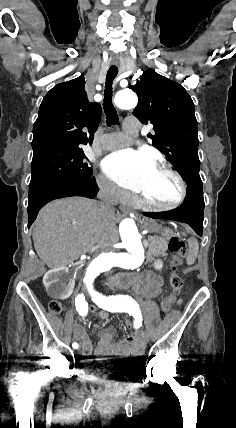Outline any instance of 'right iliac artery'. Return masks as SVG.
<instances>
[{
    "mask_svg": "<svg viewBox=\"0 0 236 428\" xmlns=\"http://www.w3.org/2000/svg\"><path fill=\"white\" fill-rule=\"evenodd\" d=\"M75 306H76V310L78 311L79 315H81V316L87 315L88 303L85 301V297L83 294L77 295V297L75 298ZM78 346L79 345L75 342L72 344V347L74 349H77Z\"/></svg>",
    "mask_w": 236,
    "mask_h": 428,
    "instance_id": "1",
    "label": "right iliac artery"
}]
</instances>
